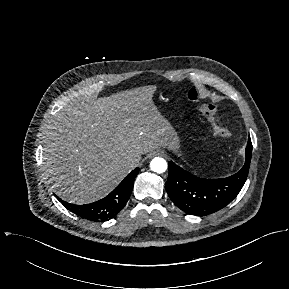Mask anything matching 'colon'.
<instances>
[{"instance_id":"1","label":"colon","mask_w":289,"mask_h":289,"mask_svg":"<svg viewBox=\"0 0 289 289\" xmlns=\"http://www.w3.org/2000/svg\"><path fill=\"white\" fill-rule=\"evenodd\" d=\"M189 100L195 101L197 99V92L195 89H190L187 93ZM204 116L209 121L211 128L216 136L227 138L231 135L229 129L219 120L217 116V108L215 105L209 104L202 108Z\"/></svg>"}]
</instances>
